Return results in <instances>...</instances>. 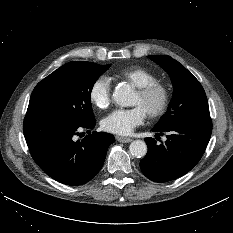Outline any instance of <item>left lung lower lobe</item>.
<instances>
[{"label": "left lung lower lobe", "mask_w": 233, "mask_h": 233, "mask_svg": "<svg viewBox=\"0 0 233 233\" xmlns=\"http://www.w3.org/2000/svg\"><path fill=\"white\" fill-rule=\"evenodd\" d=\"M152 130L157 135L167 132V140L158 145L155 139L145 138L148 152L140 168L148 179L162 183L181 177L199 162L211 137L212 121L210 117L194 116Z\"/></svg>", "instance_id": "0a47b994"}]
</instances>
